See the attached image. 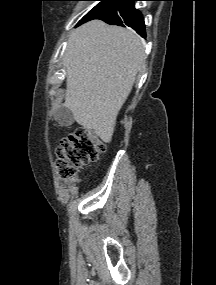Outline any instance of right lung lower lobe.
<instances>
[{
	"label": "right lung lower lobe",
	"mask_w": 216,
	"mask_h": 285,
	"mask_svg": "<svg viewBox=\"0 0 216 285\" xmlns=\"http://www.w3.org/2000/svg\"><path fill=\"white\" fill-rule=\"evenodd\" d=\"M134 1L137 0H120L107 11L91 19H87L82 23L92 19H100L108 24L119 25L123 27L127 25L133 28L142 37H146L143 16L137 9L134 8Z\"/></svg>",
	"instance_id": "right-lung-lower-lobe-1"
}]
</instances>
